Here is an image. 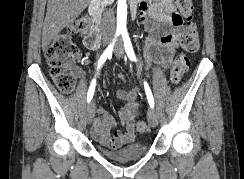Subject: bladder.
<instances>
[{
  "instance_id": "bladder-1",
  "label": "bladder",
  "mask_w": 244,
  "mask_h": 179,
  "mask_svg": "<svg viewBox=\"0 0 244 179\" xmlns=\"http://www.w3.org/2000/svg\"><path fill=\"white\" fill-rule=\"evenodd\" d=\"M102 154L113 160H132L144 156L147 152V145L141 142L131 143L121 149L110 151L99 146Z\"/></svg>"
}]
</instances>
